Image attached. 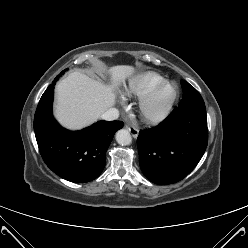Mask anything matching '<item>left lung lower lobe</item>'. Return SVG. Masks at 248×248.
Instances as JSON below:
<instances>
[{"mask_svg": "<svg viewBox=\"0 0 248 248\" xmlns=\"http://www.w3.org/2000/svg\"><path fill=\"white\" fill-rule=\"evenodd\" d=\"M207 142L204 102L176 108L156 127L140 131L137 145L141 170L155 184L178 182L196 167Z\"/></svg>", "mask_w": 248, "mask_h": 248, "instance_id": "0a47b994", "label": "left lung lower lobe"}]
</instances>
